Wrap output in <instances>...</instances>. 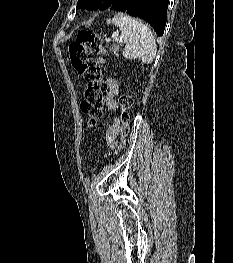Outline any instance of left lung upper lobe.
<instances>
[{"label": "left lung upper lobe", "mask_w": 233, "mask_h": 263, "mask_svg": "<svg viewBox=\"0 0 233 263\" xmlns=\"http://www.w3.org/2000/svg\"><path fill=\"white\" fill-rule=\"evenodd\" d=\"M114 0H78L77 7L81 9H107Z\"/></svg>", "instance_id": "1"}]
</instances>
